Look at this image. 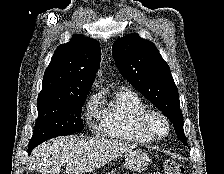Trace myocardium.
Listing matches in <instances>:
<instances>
[{
    "instance_id": "1",
    "label": "myocardium",
    "mask_w": 224,
    "mask_h": 174,
    "mask_svg": "<svg viewBox=\"0 0 224 174\" xmlns=\"http://www.w3.org/2000/svg\"><path fill=\"white\" fill-rule=\"evenodd\" d=\"M152 117L160 118L165 124V132L163 134L155 133L150 126ZM138 126L141 132L151 140H161L168 136L170 132V122L167 116L159 110L146 108L138 118Z\"/></svg>"
}]
</instances>
